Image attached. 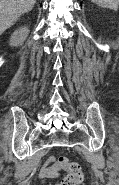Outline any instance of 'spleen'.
Returning a JSON list of instances; mask_svg holds the SVG:
<instances>
[{
  "instance_id": "3e777b00",
  "label": "spleen",
  "mask_w": 119,
  "mask_h": 185,
  "mask_svg": "<svg viewBox=\"0 0 119 185\" xmlns=\"http://www.w3.org/2000/svg\"><path fill=\"white\" fill-rule=\"evenodd\" d=\"M97 5L116 11L118 9L119 0H91Z\"/></svg>"
}]
</instances>
